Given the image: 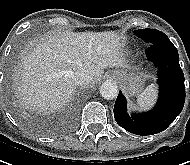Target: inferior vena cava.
I'll return each mask as SVG.
<instances>
[{
  "label": "inferior vena cava",
  "instance_id": "1",
  "mask_svg": "<svg viewBox=\"0 0 190 165\" xmlns=\"http://www.w3.org/2000/svg\"><path fill=\"white\" fill-rule=\"evenodd\" d=\"M73 80L77 85H88L93 81L92 76L85 70L75 72Z\"/></svg>",
  "mask_w": 190,
  "mask_h": 165
}]
</instances>
